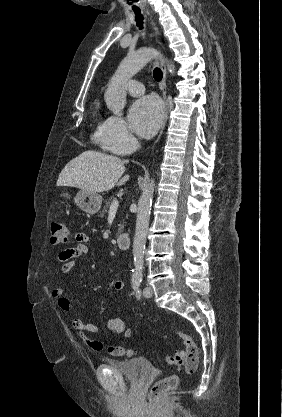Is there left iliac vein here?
<instances>
[{
  "mask_svg": "<svg viewBox=\"0 0 282 417\" xmlns=\"http://www.w3.org/2000/svg\"><path fill=\"white\" fill-rule=\"evenodd\" d=\"M152 294H153V291H152V289H151L150 287H145V288H144V290H143V295H144L146 298H150V297H152Z\"/></svg>",
  "mask_w": 282,
  "mask_h": 417,
  "instance_id": "1",
  "label": "left iliac vein"
}]
</instances>
